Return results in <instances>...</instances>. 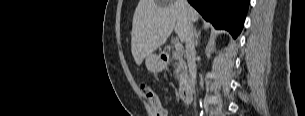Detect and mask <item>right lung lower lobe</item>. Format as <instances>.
Returning a JSON list of instances; mask_svg holds the SVG:
<instances>
[{"mask_svg":"<svg viewBox=\"0 0 305 116\" xmlns=\"http://www.w3.org/2000/svg\"><path fill=\"white\" fill-rule=\"evenodd\" d=\"M217 29L228 30L236 38L244 24L249 0H188Z\"/></svg>","mask_w":305,"mask_h":116,"instance_id":"right-lung-lower-lobe-1","label":"right lung lower lobe"}]
</instances>
